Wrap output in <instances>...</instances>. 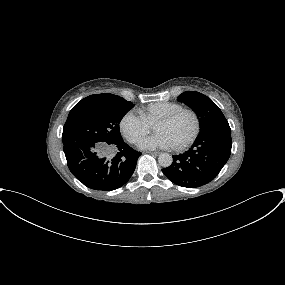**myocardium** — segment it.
<instances>
[{"label":"myocardium","mask_w":285,"mask_h":285,"mask_svg":"<svg viewBox=\"0 0 285 285\" xmlns=\"http://www.w3.org/2000/svg\"><path fill=\"white\" fill-rule=\"evenodd\" d=\"M188 113L190 115H192L194 122H195V126L193 129V132L191 133V135L181 144L177 145V146H173V148L177 151H181L186 149L187 147H189L198 137L200 130H201V119L199 114L193 110V109H189V108H182L179 109L177 111H174L170 114H167L161 118H159L154 126L158 123H169L172 122L173 120H175L177 117H179L182 114Z\"/></svg>","instance_id":"obj_1"}]
</instances>
